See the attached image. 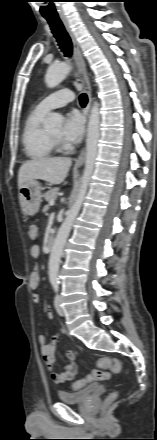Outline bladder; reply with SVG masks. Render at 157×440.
Listing matches in <instances>:
<instances>
[{
	"instance_id": "1",
	"label": "bladder",
	"mask_w": 157,
	"mask_h": 440,
	"mask_svg": "<svg viewBox=\"0 0 157 440\" xmlns=\"http://www.w3.org/2000/svg\"><path fill=\"white\" fill-rule=\"evenodd\" d=\"M97 385H89L74 392L58 391V399L65 404H81L87 401L96 391Z\"/></svg>"
}]
</instances>
